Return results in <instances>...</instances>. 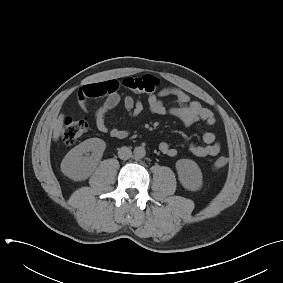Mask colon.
<instances>
[{"mask_svg": "<svg viewBox=\"0 0 283 283\" xmlns=\"http://www.w3.org/2000/svg\"><path fill=\"white\" fill-rule=\"evenodd\" d=\"M159 85V80L151 75L141 77H127L120 82V86L135 93H153ZM88 124L84 119L66 118L63 126L62 139L64 143H75L87 130ZM228 160L219 157L212 163L216 170L225 168Z\"/></svg>", "mask_w": 283, "mask_h": 283, "instance_id": "colon-1", "label": "colon"}]
</instances>
